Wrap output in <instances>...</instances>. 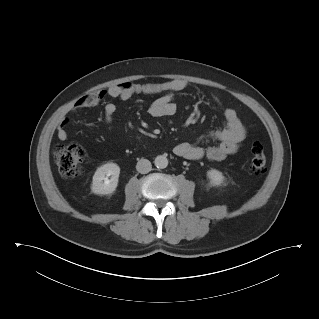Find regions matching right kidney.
<instances>
[{
	"instance_id": "right-kidney-1",
	"label": "right kidney",
	"mask_w": 319,
	"mask_h": 319,
	"mask_svg": "<svg viewBox=\"0 0 319 319\" xmlns=\"http://www.w3.org/2000/svg\"><path fill=\"white\" fill-rule=\"evenodd\" d=\"M120 167L116 163H106L97 168L93 175L91 190L97 195L113 193L118 185ZM111 176L110 179L108 177Z\"/></svg>"
}]
</instances>
